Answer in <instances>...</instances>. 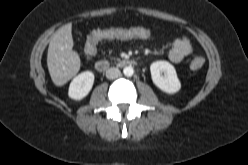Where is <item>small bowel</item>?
Segmentation results:
<instances>
[{
	"label": "small bowel",
	"mask_w": 248,
	"mask_h": 165,
	"mask_svg": "<svg viewBox=\"0 0 248 165\" xmlns=\"http://www.w3.org/2000/svg\"><path fill=\"white\" fill-rule=\"evenodd\" d=\"M125 30L129 32L141 31V32H144V34L143 35L132 34L128 37L121 38V39H148L151 37V32L147 28H144V27H133V28L125 29ZM90 40L91 38L89 35L86 43H88ZM192 52H193V47H192L190 40L186 36L183 35L173 40L168 57L171 62L178 64V63H181L185 58L190 56Z\"/></svg>",
	"instance_id": "c3829d8e"
}]
</instances>
